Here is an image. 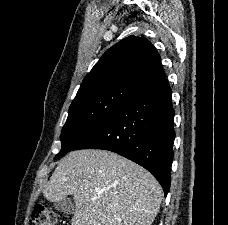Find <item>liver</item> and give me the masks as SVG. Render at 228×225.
<instances>
[{"label": "liver", "instance_id": "liver-1", "mask_svg": "<svg viewBox=\"0 0 228 225\" xmlns=\"http://www.w3.org/2000/svg\"><path fill=\"white\" fill-rule=\"evenodd\" d=\"M50 203L74 199L71 225H152L163 191L136 163L111 151H72L43 189Z\"/></svg>", "mask_w": 228, "mask_h": 225}]
</instances>
